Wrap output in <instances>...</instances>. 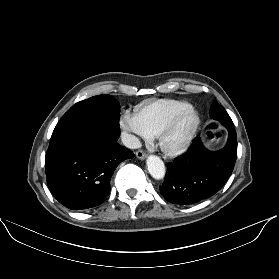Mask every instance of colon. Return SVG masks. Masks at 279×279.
Segmentation results:
<instances>
[{
    "mask_svg": "<svg viewBox=\"0 0 279 279\" xmlns=\"http://www.w3.org/2000/svg\"><path fill=\"white\" fill-rule=\"evenodd\" d=\"M203 136L207 141L212 142L218 139L219 133L217 132L215 126L212 125L204 132Z\"/></svg>",
    "mask_w": 279,
    "mask_h": 279,
    "instance_id": "colon-1",
    "label": "colon"
}]
</instances>
